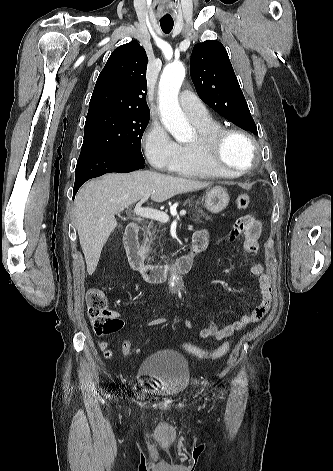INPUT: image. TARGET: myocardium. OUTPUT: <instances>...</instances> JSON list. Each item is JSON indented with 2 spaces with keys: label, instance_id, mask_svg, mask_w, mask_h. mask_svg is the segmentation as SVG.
I'll use <instances>...</instances> for the list:
<instances>
[{
  "label": "myocardium",
  "instance_id": "f54148a6",
  "mask_svg": "<svg viewBox=\"0 0 333 471\" xmlns=\"http://www.w3.org/2000/svg\"><path fill=\"white\" fill-rule=\"evenodd\" d=\"M243 139L250 148V158L245 166L237 167L226 164L221 157L222 148L229 137ZM193 146L203 154L208 162L220 171L243 174L254 167L257 162V144L255 140L245 131L231 127H220L206 133L197 134Z\"/></svg>",
  "mask_w": 333,
  "mask_h": 471
}]
</instances>
